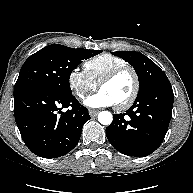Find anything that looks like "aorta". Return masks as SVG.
<instances>
[{"instance_id": "aorta-1", "label": "aorta", "mask_w": 193, "mask_h": 193, "mask_svg": "<svg viewBox=\"0 0 193 193\" xmlns=\"http://www.w3.org/2000/svg\"><path fill=\"white\" fill-rule=\"evenodd\" d=\"M112 120L113 116L109 111H102L98 114V121L102 125H110Z\"/></svg>"}]
</instances>
